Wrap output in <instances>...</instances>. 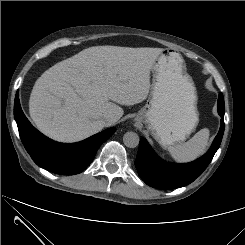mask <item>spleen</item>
Wrapping results in <instances>:
<instances>
[{
	"mask_svg": "<svg viewBox=\"0 0 245 245\" xmlns=\"http://www.w3.org/2000/svg\"><path fill=\"white\" fill-rule=\"evenodd\" d=\"M209 133V129L203 128L187 142L169 147L168 150L171 156L180 163L190 162L198 158L206 151Z\"/></svg>",
	"mask_w": 245,
	"mask_h": 245,
	"instance_id": "1",
	"label": "spleen"
}]
</instances>
